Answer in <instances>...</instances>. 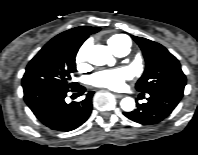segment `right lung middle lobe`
<instances>
[{
	"instance_id": "1",
	"label": "right lung middle lobe",
	"mask_w": 198,
	"mask_h": 155,
	"mask_svg": "<svg viewBox=\"0 0 198 155\" xmlns=\"http://www.w3.org/2000/svg\"><path fill=\"white\" fill-rule=\"evenodd\" d=\"M81 41L48 42L29 62L22 78L23 88L56 86L70 89L78 84L71 82L75 71V57Z\"/></svg>"
}]
</instances>
